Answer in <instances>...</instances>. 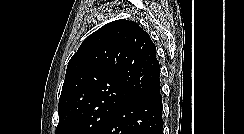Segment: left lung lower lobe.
<instances>
[{
    "label": "left lung lower lobe",
    "mask_w": 244,
    "mask_h": 134,
    "mask_svg": "<svg viewBox=\"0 0 244 134\" xmlns=\"http://www.w3.org/2000/svg\"><path fill=\"white\" fill-rule=\"evenodd\" d=\"M161 86L126 99L101 134H162Z\"/></svg>",
    "instance_id": "0a47b994"
}]
</instances>
